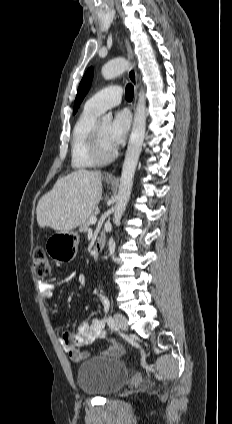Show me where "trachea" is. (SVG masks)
Segmentation results:
<instances>
[{"label":"trachea","mask_w":232,"mask_h":424,"mask_svg":"<svg viewBox=\"0 0 232 424\" xmlns=\"http://www.w3.org/2000/svg\"><path fill=\"white\" fill-rule=\"evenodd\" d=\"M134 95V87L131 84H128L126 86V99L128 101H131L133 99Z\"/></svg>","instance_id":"1"}]
</instances>
